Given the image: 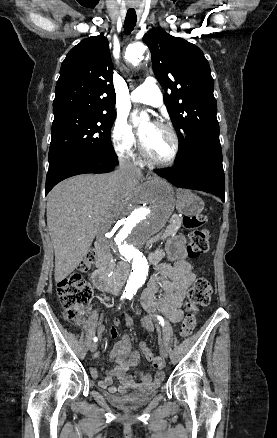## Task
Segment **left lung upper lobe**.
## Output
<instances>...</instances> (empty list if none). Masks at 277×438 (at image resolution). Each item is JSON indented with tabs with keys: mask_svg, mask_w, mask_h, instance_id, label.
I'll return each mask as SVG.
<instances>
[{
	"mask_svg": "<svg viewBox=\"0 0 277 438\" xmlns=\"http://www.w3.org/2000/svg\"><path fill=\"white\" fill-rule=\"evenodd\" d=\"M143 42L151 50L155 76L171 91L164 102L181 144L177 165L221 149L214 81L201 49L162 29L149 30Z\"/></svg>",
	"mask_w": 277,
	"mask_h": 438,
	"instance_id": "1",
	"label": "left lung upper lobe"
}]
</instances>
